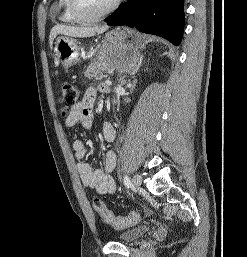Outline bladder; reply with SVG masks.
Instances as JSON below:
<instances>
[{"mask_svg": "<svg viewBox=\"0 0 247 257\" xmlns=\"http://www.w3.org/2000/svg\"><path fill=\"white\" fill-rule=\"evenodd\" d=\"M149 230L150 227L148 225L136 226L119 234L117 240L126 244L134 243L143 238Z\"/></svg>", "mask_w": 247, "mask_h": 257, "instance_id": "obj_1", "label": "bladder"}]
</instances>
